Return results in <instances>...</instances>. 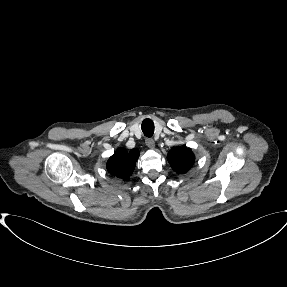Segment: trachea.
<instances>
[{
    "label": "trachea",
    "mask_w": 287,
    "mask_h": 287,
    "mask_svg": "<svg viewBox=\"0 0 287 287\" xmlns=\"http://www.w3.org/2000/svg\"><path fill=\"white\" fill-rule=\"evenodd\" d=\"M141 128L146 137H152L154 133V123L151 119H145L142 122Z\"/></svg>",
    "instance_id": "obj_1"
}]
</instances>
